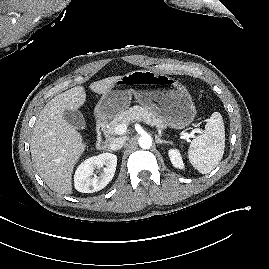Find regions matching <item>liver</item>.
<instances>
[{
  "label": "liver",
  "instance_id": "liver-1",
  "mask_svg": "<svg viewBox=\"0 0 269 269\" xmlns=\"http://www.w3.org/2000/svg\"><path fill=\"white\" fill-rule=\"evenodd\" d=\"M120 77L93 82L90 89L103 95ZM85 101L82 86L57 95L42 109L33 128L32 161L48 187L59 194L72 193L73 168L86 149L81 134L66 122L63 114L65 110H77Z\"/></svg>",
  "mask_w": 269,
  "mask_h": 269
}]
</instances>
